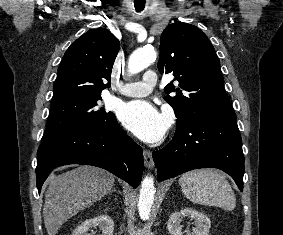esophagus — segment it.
Returning <instances> with one entry per match:
<instances>
[{"label":"esophagus","mask_w":283,"mask_h":235,"mask_svg":"<svg viewBox=\"0 0 283 235\" xmlns=\"http://www.w3.org/2000/svg\"><path fill=\"white\" fill-rule=\"evenodd\" d=\"M144 156V164L147 168H153L154 160L152 157V152L150 150L144 149L143 151Z\"/></svg>","instance_id":"34e87169"}]
</instances>
